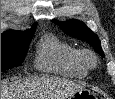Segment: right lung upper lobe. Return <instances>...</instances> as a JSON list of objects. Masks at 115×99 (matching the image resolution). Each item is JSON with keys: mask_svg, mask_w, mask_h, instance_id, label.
Listing matches in <instances>:
<instances>
[{"mask_svg": "<svg viewBox=\"0 0 115 99\" xmlns=\"http://www.w3.org/2000/svg\"><path fill=\"white\" fill-rule=\"evenodd\" d=\"M36 23L32 26L31 29L26 30L25 32H19V31H6L3 34H1V37H9V36H21V35H28V34H32L35 32V28H36Z\"/></svg>", "mask_w": 115, "mask_h": 99, "instance_id": "right-lung-upper-lobe-1", "label": "right lung upper lobe"}]
</instances>
